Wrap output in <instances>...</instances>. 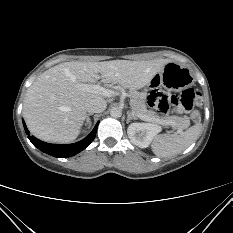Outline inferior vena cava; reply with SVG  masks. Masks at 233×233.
Instances as JSON below:
<instances>
[{
  "instance_id": "602c4592",
  "label": "inferior vena cava",
  "mask_w": 233,
  "mask_h": 233,
  "mask_svg": "<svg viewBox=\"0 0 233 233\" xmlns=\"http://www.w3.org/2000/svg\"><path fill=\"white\" fill-rule=\"evenodd\" d=\"M106 101L99 97H88L85 100V108L90 113H100L106 109Z\"/></svg>"
}]
</instances>
